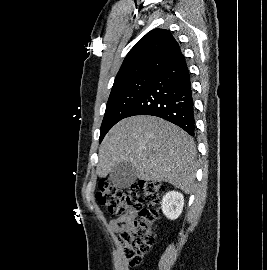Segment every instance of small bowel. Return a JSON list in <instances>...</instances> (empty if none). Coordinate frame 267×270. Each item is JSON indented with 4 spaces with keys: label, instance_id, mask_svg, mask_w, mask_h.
<instances>
[{
    "label": "small bowel",
    "instance_id": "1",
    "mask_svg": "<svg viewBox=\"0 0 267 270\" xmlns=\"http://www.w3.org/2000/svg\"><path fill=\"white\" fill-rule=\"evenodd\" d=\"M135 219V212H130L118 217L117 219L111 220L109 223V227L113 232L118 233L121 230L130 226Z\"/></svg>",
    "mask_w": 267,
    "mask_h": 270
}]
</instances>
